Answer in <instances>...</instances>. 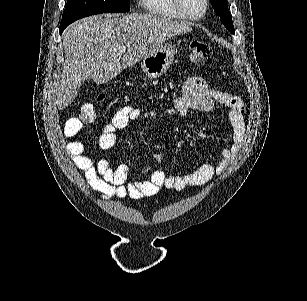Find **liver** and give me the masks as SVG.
<instances>
[{
  "label": "liver",
  "mask_w": 307,
  "mask_h": 301,
  "mask_svg": "<svg viewBox=\"0 0 307 301\" xmlns=\"http://www.w3.org/2000/svg\"><path fill=\"white\" fill-rule=\"evenodd\" d=\"M191 30V22L139 12L116 18H102V14H98L76 20L62 34L65 62L57 88V108L62 110L69 106L87 78H92L96 84L108 82L123 68L158 50L169 38ZM119 46H127L122 56L114 50Z\"/></svg>",
  "instance_id": "1"
}]
</instances>
